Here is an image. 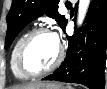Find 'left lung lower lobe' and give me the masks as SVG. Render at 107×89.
<instances>
[{"label": "left lung lower lobe", "instance_id": "left-lung-lower-lobe-1", "mask_svg": "<svg viewBox=\"0 0 107 89\" xmlns=\"http://www.w3.org/2000/svg\"><path fill=\"white\" fill-rule=\"evenodd\" d=\"M85 22L80 36L68 37L66 58L60 67L43 80L79 83L89 89H104L107 0L91 1Z\"/></svg>", "mask_w": 107, "mask_h": 89}]
</instances>
